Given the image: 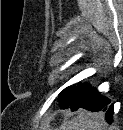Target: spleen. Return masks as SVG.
I'll return each mask as SVG.
<instances>
[{"label": "spleen", "mask_w": 123, "mask_h": 130, "mask_svg": "<svg viewBox=\"0 0 123 130\" xmlns=\"http://www.w3.org/2000/svg\"><path fill=\"white\" fill-rule=\"evenodd\" d=\"M103 120L97 119L95 115L81 110L77 116L65 122L61 130H103Z\"/></svg>", "instance_id": "1"}]
</instances>
